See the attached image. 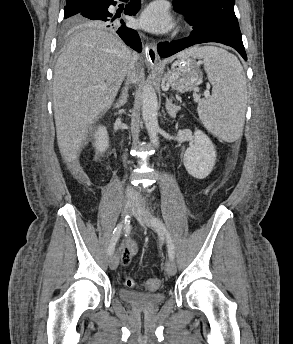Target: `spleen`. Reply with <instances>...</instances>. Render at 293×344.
I'll list each match as a JSON object with an SVG mask.
<instances>
[{
	"mask_svg": "<svg viewBox=\"0 0 293 344\" xmlns=\"http://www.w3.org/2000/svg\"><path fill=\"white\" fill-rule=\"evenodd\" d=\"M180 56L203 59L213 86L212 96L198 103L204 127L227 142L237 140L243 132L247 100L246 78L237 57L213 46L193 47Z\"/></svg>",
	"mask_w": 293,
	"mask_h": 344,
	"instance_id": "obj_1",
	"label": "spleen"
}]
</instances>
